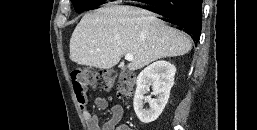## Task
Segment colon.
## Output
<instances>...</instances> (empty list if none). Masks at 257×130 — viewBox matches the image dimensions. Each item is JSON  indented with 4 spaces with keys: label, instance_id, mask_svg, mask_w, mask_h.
<instances>
[{
    "label": "colon",
    "instance_id": "5ec220e1",
    "mask_svg": "<svg viewBox=\"0 0 257 130\" xmlns=\"http://www.w3.org/2000/svg\"><path fill=\"white\" fill-rule=\"evenodd\" d=\"M71 82L77 100L85 99L88 87L110 90L116 85L119 97L130 100L135 89V76L130 71L117 73L114 70L96 72L90 68H76L71 72Z\"/></svg>",
    "mask_w": 257,
    "mask_h": 130
}]
</instances>
